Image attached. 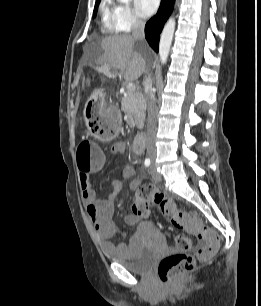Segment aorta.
<instances>
[{
  "label": "aorta",
  "mask_w": 261,
  "mask_h": 306,
  "mask_svg": "<svg viewBox=\"0 0 261 306\" xmlns=\"http://www.w3.org/2000/svg\"><path fill=\"white\" fill-rule=\"evenodd\" d=\"M122 3L128 4L131 0H119ZM175 19L170 17L166 22L163 31L161 33L160 42H159V57L162 64H166L170 47L173 40V35L175 32Z\"/></svg>",
  "instance_id": "obj_1"
}]
</instances>
